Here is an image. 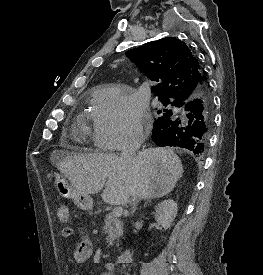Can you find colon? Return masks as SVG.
I'll use <instances>...</instances> for the list:
<instances>
[{"label":"colon","mask_w":263,"mask_h":275,"mask_svg":"<svg viewBox=\"0 0 263 275\" xmlns=\"http://www.w3.org/2000/svg\"><path fill=\"white\" fill-rule=\"evenodd\" d=\"M57 218L61 223H67L70 220V210L67 206L62 205L57 209Z\"/></svg>","instance_id":"5ec220e1"}]
</instances>
